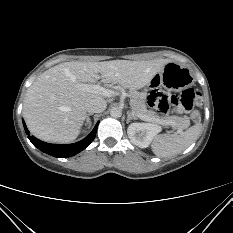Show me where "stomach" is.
<instances>
[{
	"label": "stomach",
	"instance_id": "obj_1",
	"mask_svg": "<svg viewBox=\"0 0 233 233\" xmlns=\"http://www.w3.org/2000/svg\"><path fill=\"white\" fill-rule=\"evenodd\" d=\"M193 83L190 70L178 63L168 62L163 69L151 77L145 87L152 89L160 85L173 91H180Z\"/></svg>",
	"mask_w": 233,
	"mask_h": 233
}]
</instances>
